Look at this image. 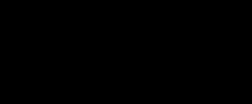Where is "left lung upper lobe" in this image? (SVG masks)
I'll return each mask as SVG.
<instances>
[{
    "mask_svg": "<svg viewBox=\"0 0 252 104\" xmlns=\"http://www.w3.org/2000/svg\"><path fill=\"white\" fill-rule=\"evenodd\" d=\"M205 73H216L215 64L209 52L199 41H196L192 62L181 74L180 77H187Z\"/></svg>",
    "mask_w": 252,
    "mask_h": 104,
    "instance_id": "5c2ea615",
    "label": "left lung upper lobe"
}]
</instances>
